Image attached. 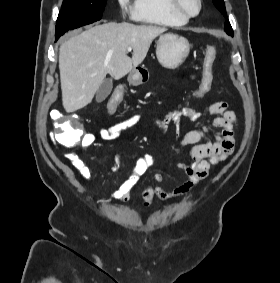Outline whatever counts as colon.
<instances>
[{
    "instance_id": "obj_1",
    "label": "colon",
    "mask_w": 280,
    "mask_h": 283,
    "mask_svg": "<svg viewBox=\"0 0 280 283\" xmlns=\"http://www.w3.org/2000/svg\"><path fill=\"white\" fill-rule=\"evenodd\" d=\"M215 58L216 49L210 45L205 49L204 70H202L198 84L194 87L193 94H190V102H200L201 99H205L206 95H210L211 83L215 75V70H211V68ZM114 91L116 93L112 94L111 98L107 100L109 111L119 104L125 88L115 87ZM51 116L55 126V130L52 133L53 140L65 148L76 146L81 139L82 133L86 132V127H81L80 124L69 119H80V114H74L73 110H70L69 114L52 111Z\"/></svg>"
}]
</instances>
